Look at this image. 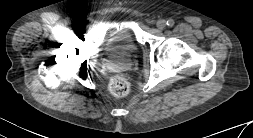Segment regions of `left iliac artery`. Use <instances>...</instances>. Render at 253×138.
<instances>
[{"mask_svg":"<svg viewBox=\"0 0 253 138\" xmlns=\"http://www.w3.org/2000/svg\"><path fill=\"white\" fill-rule=\"evenodd\" d=\"M169 27H172L174 25V20L173 19H168L166 23Z\"/></svg>","mask_w":253,"mask_h":138,"instance_id":"1","label":"left iliac artery"}]
</instances>
